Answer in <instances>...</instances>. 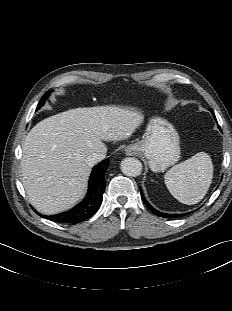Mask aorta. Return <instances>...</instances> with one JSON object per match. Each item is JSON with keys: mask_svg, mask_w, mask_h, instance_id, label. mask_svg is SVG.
<instances>
[{"mask_svg": "<svg viewBox=\"0 0 232 311\" xmlns=\"http://www.w3.org/2000/svg\"><path fill=\"white\" fill-rule=\"evenodd\" d=\"M120 168L126 176L136 177L141 174L142 164L137 158L127 157L121 161Z\"/></svg>", "mask_w": 232, "mask_h": 311, "instance_id": "obj_1", "label": "aorta"}]
</instances>
